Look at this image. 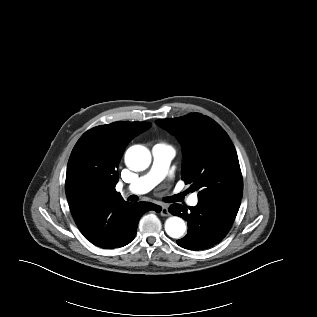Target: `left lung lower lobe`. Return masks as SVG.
<instances>
[{
    "mask_svg": "<svg viewBox=\"0 0 317 317\" xmlns=\"http://www.w3.org/2000/svg\"><path fill=\"white\" fill-rule=\"evenodd\" d=\"M241 199L199 198L195 207L172 204L169 212L187 220V235L177 240L185 249L199 251L218 244L229 232Z\"/></svg>",
    "mask_w": 317,
    "mask_h": 317,
    "instance_id": "1",
    "label": "left lung lower lobe"
}]
</instances>
